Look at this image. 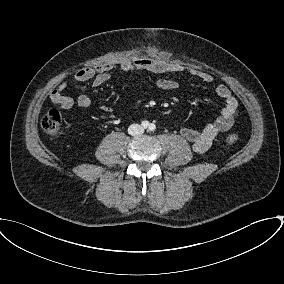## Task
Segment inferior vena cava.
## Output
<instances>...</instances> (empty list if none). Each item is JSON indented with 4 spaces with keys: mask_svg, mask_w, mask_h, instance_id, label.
Wrapping results in <instances>:
<instances>
[{
    "mask_svg": "<svg viewBox=\"0 0 284 284\" xmlns=\"http://www.w3.org/2000/svg\"><path fill=\"white\" fill-rule=\"evenodd\" d=\"M144 131L143 127L139 124H131L128 127V133L132 136L142 134Z\"/></svg>",
    "mask_w": 284,
    "mask_h": 284,
    "instance_id": "inferior-vena-cava-1",
    "label": "inferior vena cava"
}]
</instances>
